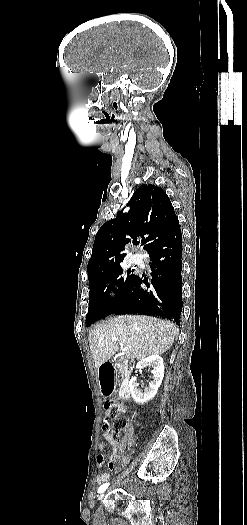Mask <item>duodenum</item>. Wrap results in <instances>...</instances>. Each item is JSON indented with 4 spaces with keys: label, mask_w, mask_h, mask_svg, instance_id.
Returning <instances> with one entry per match:
<instances>
[{
    "label": "duodenum",
    "mask_w": 247,
    "mask_h": 525,
    "mask_svg": "<svg viewBox=\"0 0 247 525\" xmlns=\"http://www.w3.org/2000/svg\"><path fill=\"white\" fill-rule=\"evenodd\" d=\"M120 368L123 372V379L120 384L119 396L122 400L130 397V372L131 364L119 361H105L98 368V378L101 392L104 396H110L114 389V370Z\"/></svg>",
    "instance_id": "1"
}]
</instances>
